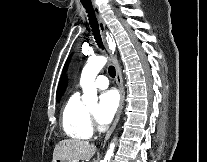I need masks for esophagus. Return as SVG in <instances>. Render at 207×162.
<instances>
[{
    "instance_id": "esophagus-1",
    "label": "esophagus",
    "mask_w": 207,
    "mask_h": 162,
    "mask_svg": "<svg viewBox=\"0 0 207 162\" xmlns=\"http://www.w3.org/2000/svg\"><path fill=\"white\" fill-rule=\"evenodd\" d=\"M92 1V6H93V10H94V14L96 16L97 22H98V26H99V30L104 42V45L108 51V53L111 56V60L115 66V70H116V83L118 86V90L120 92V103H119V107L116 113V117L115 120L111 126V128L109 129V131L107 132L105 139H104V143L109 139V137L111 136V134L113 133L119 119H120V115L124 106V100H125V90H124V86H123V80H122V74H121V68L119 66V62L117 59V56L115 54V49H116V43L115 40L113 38L112 35L108 36L106 33V27H105V23L103 20V17L101 15V12L95 2V0H91Z\"/></svg>"
}]
</instances>
